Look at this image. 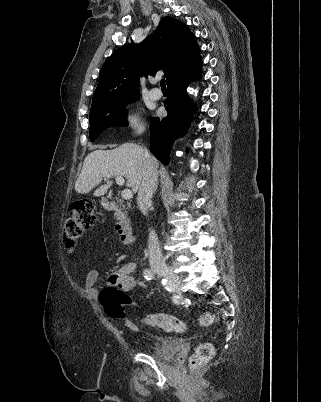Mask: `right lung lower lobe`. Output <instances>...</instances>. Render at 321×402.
Here are the masks:
<instances>
[{
	"label": "right lung lower lobe",
	"instance_id": "obj_1",
	"mask_svg": "<svg viewBox=\"0 0 321 402\" xmlns=\"http://www.w3.org/2000/svg\"><path fill=\"white\" fill-rule=\"evenodd\" d=\"M201 66L183 73L167 83L168 97L165 100L168 116L153 118L150 126V151L163 164L169 162V153L174 140L188 128L194 111L186 88L191 80L201 77Z\"/></svg>",
	"mask_w": 321,
	"mask_h": 402
}]
</instances>
